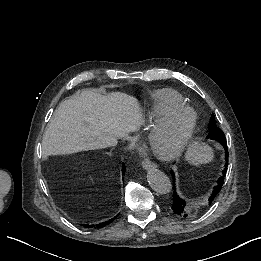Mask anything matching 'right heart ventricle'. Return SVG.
Wrapping results in <instances>:
<instances>
[{
  "label": "right heart ventricle",
  "mask_w": 261,
  "mask_h": 261,
  "mask_svg": "<svg viewBox=\"0 0 261 261\" xmlns=\"http://www.w3.org/2000/svg\"><path fill=\"white\" fill-rule=\"evenodd\" d=\"M135 93L141 98L144 105L143 119L170 106L185 105L184 96L178 90L170 87L145 89Z\"/></svg>",
  "instance_id": "e07e8e85"
}]
</instances>
